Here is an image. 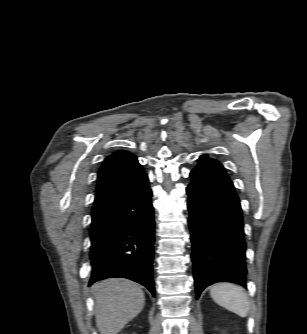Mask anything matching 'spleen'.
I'll return each mask as SVG.
<instances>
[{
    "instance_id": "1",
    "label": "spleen",
    "mask_w": 307,
    "mask_h": 334,
    "mask_svg": "<svg viewBox=\"0 0 307 334\" xmlns=\"http://www.w3.org/2000/svg\"><path fill=\"white\" fill-rule=\"evenodd\" d=\"M210 295L218 305L240 317L248 315L250 303L242 287L231 283H219L211 288Z\"/></svg>"
}]
</instances>
